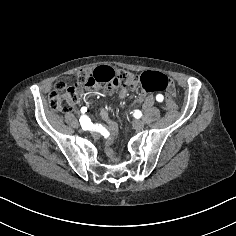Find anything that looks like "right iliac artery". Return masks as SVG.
Here are the masks:
<instances>
[{
  "instance_id": "right-iliac-artery-1",
  "label": "right iliac artery",
  "mask_w": 236,
  "mask_h": 236,
  "mask_svg": "<svg viewBox=\"0 0 236 236\" xmlns=\"http://www.w3.org/2000/svg\"><path fill=\"white\" fill-rule=\"evenodd\" d=\"M79 121H80V124H81L83 130L86 131V130L90 129L92 122L87 115H82L80 117Z\"/></svg>"
}]
</instances>
